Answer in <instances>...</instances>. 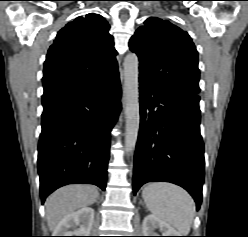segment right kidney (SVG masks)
Wrapping results in <instances>:
<instances>
[{"instance_id": "right-kidney-1", "label": "right kidney", "mask_w": 248, "mask_h": 237, "mask_svg": "<svg viewBox=\"0 0 248 237\" xmlns=\"http://www.w3.org/2000/svg\"><path fill=\"white\" fill-rule=\"evenodd\" d=\"M94 209L83 207L66 215L55 229L56 236H89L93 222ZM75 226L79 228L74 229Z\"/></svg>"}]
</instances>
